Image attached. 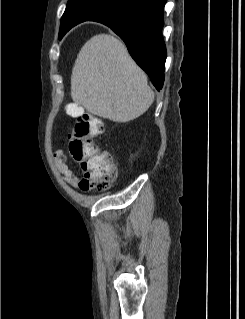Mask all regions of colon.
Wrapping results in <instances>:
<instances>
[{
    "label": "colon",
    "instance_id": "obj_1",
    "mask_svg": "<svg viewBox=\"0 0 245 319\" xmlns=\"http://www.w3.org/2000/svg\"><path fill=\"white\" fill-rule=\"evenodd\" d=\"M68 112L76 116L74 126L67 136V150L82 172L79 187L84 191L109 189L117 176L116 165L108 153L91 142L103 134V121L87 113H80L76 105H70Z\"/></svg>",
    "mask_w": 245,
    "mask_h": 319
}]
</instances>
